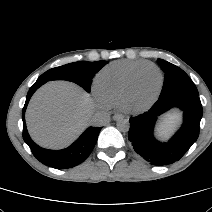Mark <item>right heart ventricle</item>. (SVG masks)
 I'll use <instances>...</instances> for the list:
<instances>
[{
  "mask_svg": "<svg viewBox=\"0 0 212 212\" xmlns=\"http://www.w3.org/2000/svg\"><path fill=\"white\" fill-rule=\"evenodd\" d=\"M147 61L121 60L104 67L95 77V89L100 101L106 106L120 105L124 88L131 74Z\"/></svg>",
  "mask_w": 212,
  "mask_h": 212,
  "instance_id": "right-heart-ventricle-1",
  "label": "right heart ventricle"
}]
</instances>
